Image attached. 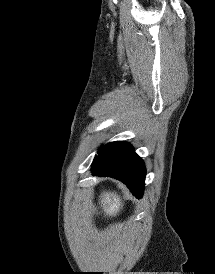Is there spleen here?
Wrapping results in <instances>:
<instances>
[{"mask_svg": "<svg viewBox=\"0 0 215 274\" xmlns=\"http://www.w3.org/2000/svg\"><path fill=\"white\" fill-rule=\"evenodd\" d=\"M102 203L108 204V206H105V210L110 214L117 211L121 205L118 196L113 193H104Z\"/></svg>", "mask_w": 215, "mask_h": 274, "instance_id": "obj_1", "label": "spleen"}]
</instances>
